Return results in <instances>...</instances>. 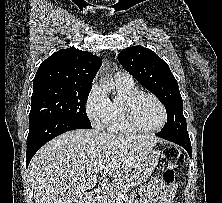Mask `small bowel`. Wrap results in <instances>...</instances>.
Here are the masks:
<instances>
[{"mask_svg":"<svg viewBox=\"0 0 222 203\" xmlns=\"http://www.w3.org/2000/svg\"><path fill=\"white\" fill-rule=\"evenodd\" d=\"M176 193V184L164 183L160 179L152 180L149 185L140 190L139 201L135 203H173Z\"/></svg>","mask_w":222,"mask_h":203,"instance_id":"small-bowel-1","label":"small bowel"}]
</instances>
